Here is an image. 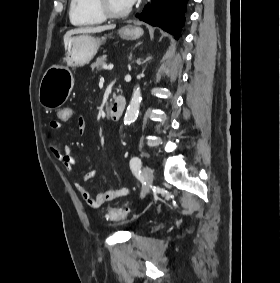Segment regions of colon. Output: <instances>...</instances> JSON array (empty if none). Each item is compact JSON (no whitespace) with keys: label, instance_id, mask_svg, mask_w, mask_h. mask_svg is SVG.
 Returning a JSON list of instances; mask_svg holds the SVG:
<instances>
[{"label":"colon","instance_id":"obj_1","mask_svg":"<svg viewBox=\"0 0 280 283\" xmlns=\"http://www.w3.org/2000/svg\"><path fill=\"white\" fill-rule=\"evenodd\" d=\"M73 112V105H61L60 108H57V118L59 122H72ZM128 214V209L111 208L107 213V219L110 221H120L126 218Z\"/></svg>","mask_w":280,"mask_h":283}]
</instances>
